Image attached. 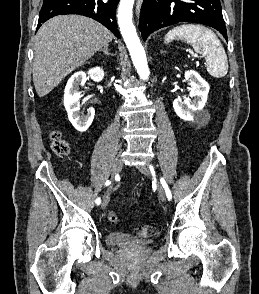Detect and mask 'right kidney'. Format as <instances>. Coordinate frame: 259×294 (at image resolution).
I'll use <instances>...</instances> for the list:
<instances>
[{"instance_id":"right-kidney-1","label":"right kidney","mask_w":259,"mask_h":294,"mask_svg":"<svg viewBox=\"0 0 259 294\" xmlns=\"http://www.w3.org/2000/svg\"><path fill=\"white\" fill-rule=\"evenodd\" d=\"M87 75L95 82H100L104 78V71L100 67L90 69L87 73L79 71L73 74L68 80L64 92V106L68 113L69 121L74 128L80 132L86 131L91 125L95 110L89 108L86 116H80L81 93L78 91L79 86H83L87 80Z\"/></svg>"}]
</instances>
